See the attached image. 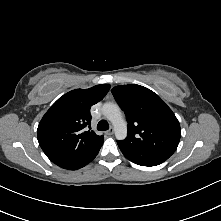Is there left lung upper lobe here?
Returning a JSON list of instances; mask_svg holds the SVG:
<instances>
[{
    "label": "left lung upper lobe",
    "mask_w": 221,
    "mask_h": 221,
    "mask_svg": "<svg viewBox=\"0 0 221 221\" xmlns=\"http://www.w3.org/2000/svg\"><path fill=\"white\" fill-rule=\"evenodd\" d=\"M111 92L128 121V135L122 143L168 155L175 152L181 137L180 124L156 93L136 84L119 85Z\"/></svg>",
    "instance_id": "5c2ea615"
}]
</instances>
